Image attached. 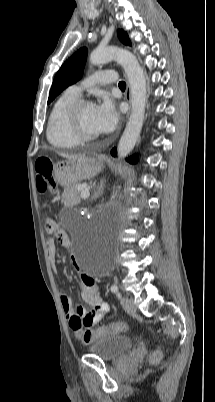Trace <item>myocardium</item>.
Returning <instances> with one entry per match:
<instances>
[{
	"mask_svg": "<svg viewBox=\"0 0 215 402\" xmlns=\"http://www.w3.org/2000/svg\"><path fill=\"white\" fill-rule=\"evenodd\" d=\"M87 105L94 104L86 99H78L70 106L67 112L68 129L79 142H88L98 138V134H88L82 129L80 115L82 109Z\"/></svg>",
	"mask_w": 215,
	"mask_h": 402,
	"instance_id": "obj_1",
	"label": "myocardium"
}]
</instances>
